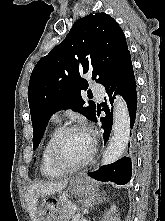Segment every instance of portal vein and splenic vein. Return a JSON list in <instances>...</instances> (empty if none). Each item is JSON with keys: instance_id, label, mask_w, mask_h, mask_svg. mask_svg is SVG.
Segmentation results:
<instances>
[{"instance_id": "portal-vein-and-splenic-vein-1", "label": "portal vein and splenic vein", "mask_w": 165, "mask_h": 221, "mask_svg": "<svg viewBox=\"0 0 165 221\" xmlns=\"http://www.w3.org/2000/svg\"><path fill=\"white\" fill-rule=\"evenodd\" d=\"M71 208H72L73 210H77V206H76L75 204H72V205H71Z\"/></svg>"}]
</instances>
